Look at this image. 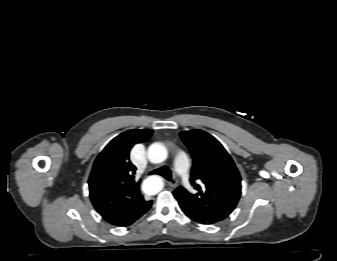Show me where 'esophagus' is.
<instances>
[{
    "mask_svg": "<svg viewBox=\"0 0 337 261\" xmlns=\"http://www.w3.org/2000/svg\"><path fill=\"white\" fill-rule=\"evenodd\" d=\"M178 185L177 178H173L172 181L169 182V186L175 188Z\"/></svg>",
    "mask_w": 337,
    "mask_h": 261,
    "instance_id": "1",
    "label": "esophagus"
}]
</instances>
